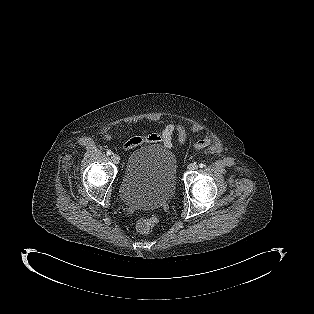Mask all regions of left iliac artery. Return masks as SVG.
Here are the masks:
<instances>
[{
  "instance_id": "left-iliac-artery-1",
  "label": "left iliac artery",
  "mask_w": 314,
  "mask_h": 314,
  "mask_svg": "<svg viewBox=\"0 0 314 314\" xmlns=\"http://www.w3.org/2000/svg\"><path fill=\"white\" fill-rule=\"evenodd\" d=\"M199 167L203 168V167H205V164L201 163V164H199Z\"/></svg>"
}]
</instances>
